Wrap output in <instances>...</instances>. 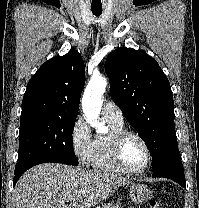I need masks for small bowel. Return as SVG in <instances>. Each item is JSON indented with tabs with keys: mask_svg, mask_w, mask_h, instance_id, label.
Returning <instances> with one entry per match:
<instances>
[{
	"mask_svg": "<svg viewBox=\"0 0 199 208\" xmlns=\"http://www.w3.org/2000/svg\"><path fill=\"white\" fill-rule=\"evenodd\" d=\"M127 208H136V207H134V206H128Z\"/></svg>",
	"mask_w": 199,
	"mask_h": 208,
	"instance_id": "small-bowel-1",
	"label": "small bowel"
}]
</instances>
